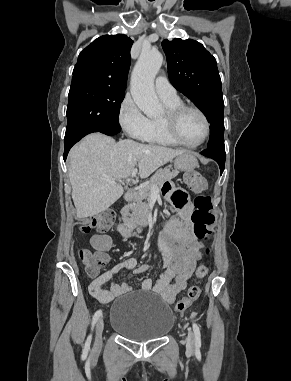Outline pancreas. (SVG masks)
Here are the masks:
<instances>
[{"mask_svg":"<svg viewBox=\"0 0 291 381\" xmlns=\"http://www.w3.org/2000/svg\"><path fill=\"white\" fill-rule=\"evenodd\" d=\"M177 174V170L159 169L145 186L139 188L135 201L122 211V220L125 226L133 230L146 224L149 209L148 201L152 193V186L156 185L159 188L165 181H170Z\"/></svg>","mask_w":291,"mask_h":381,"instance_id":"1","label":"pancreas"}]
</instances>
